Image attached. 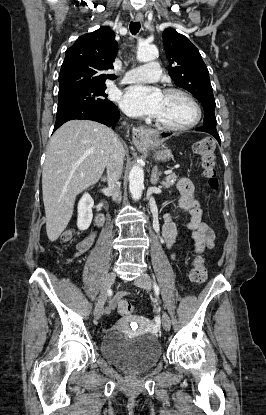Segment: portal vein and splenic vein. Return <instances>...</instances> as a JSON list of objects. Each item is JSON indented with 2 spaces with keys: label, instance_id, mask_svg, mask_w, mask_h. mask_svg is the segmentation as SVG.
Returning a JSON list of instances; mask_svg holds the SVG:
<instances>
[{
  "label": "portal vein and splenic vein",
  "instance_id": "18ae733b",
  "mask_svg": "<svg viewBox=\"0 0 266 415\" xmlns=\"http://www.w3.org/2000/svg\"><path fill=\"white\" fill-rule=\"evenodd\" d=\"M165 174H172L173 173V171L172 170H166L165 172H164ZM82 177H84V175H81Z\"/></svg>",
  "mask_w": 266,
  "mask_h": 415
}]
</instances>
